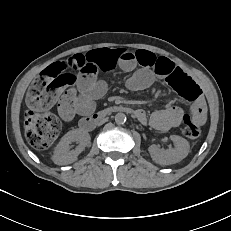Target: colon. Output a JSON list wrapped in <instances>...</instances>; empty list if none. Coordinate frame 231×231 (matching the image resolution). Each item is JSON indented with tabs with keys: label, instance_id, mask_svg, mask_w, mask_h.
<instances>
[{
	"label": "colon",
	"instance_id": "colon-1",
	"mask_svg": "<svg viewBox=\"0 0 231 231\" xmlns=\"http://www.w3.org/2000/svg\"><path fill=\"white\" fill-rule=\"evenodd\" d=\"M168 84L182 97L195 101L201 96L199 86L186 74H173ZM75 83V75L68 71L65 64L56 62L43 70L31 84L26 103L25 135L36 149H45L52 145L61 130L59 118L48 111L61 96L70 93ZM183 134L196 139L201 134L200 127L188 118L183 119Z\"/></svg>",
	"mask_w": 231,
	"mask_h": 231
}]
</instances>
